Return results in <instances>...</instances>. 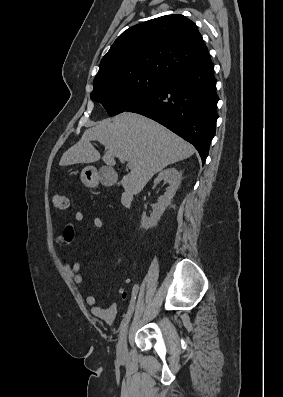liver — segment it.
Returning a JSON list of instances; mask_svg holds the SVG:
<instances>
[{
    "instance_id": "1",
    "label": "liver",
    "mask_w": 283,
    "mask_h": 397,
    "mask_svg": "<svg viewBox=\"0 0 283 397\" xmlns=\"http://www.w3.org/2000/svg\"><path fill=\"white\" fill-rule=\"evenodd\" d=\"M93 140L105 146L102 160L108 168L116 164L115 158L128 161L131 171L121 183L132 194L141 192L154 174L195 152L191 144L157 122L136 113L124 112L87 129L81 139L64 152L59 165L100 160V153L91 144Z\"/></svg>"
}]
</instances>
